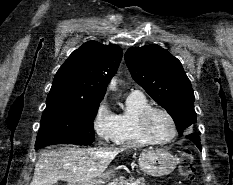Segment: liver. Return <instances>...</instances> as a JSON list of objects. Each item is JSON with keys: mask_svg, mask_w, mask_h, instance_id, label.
I'll return each mask as SVG.
<instances>
[{"mask_svg": "<svg viewBox=\"0 0 233 185\" xmlns=\"http://www.w3.org/2000/svg\"><path fill=\"white\" fill-rule=\"evenodd\" d=\"M124 148H60L42 152L35 165L30 185H54L64 180L72 185L102 176L111 161ZM75 167L64 168V165Z\"/></svg>", "mask_w": 233, "mask_h": 185, "instance_id": "obj_1", "label": "liver"}]
</instances>
